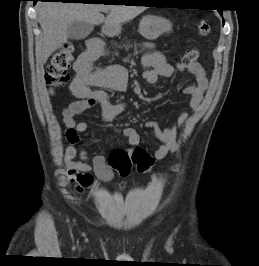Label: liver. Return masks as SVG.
Masks as SVG:
<instances>
[{
  "mask_svg": "<svg viewBox=\"0 0 259 266\" xmlns=\"http://www.w3.org/2000/svg\"><path fill=\"white\" fill-rule=\"evenodd\" d=\"M38 21L42 28L40 57L43 63L67 43V28L74 21L92 25L104 22V28L121 26L145 11V6L104 5L84 3L41 2L37 4ZM109 12L105 18L101 12Z\"/></svg>",
  "mask_w": 259,
  "mask_h": 266,
  "instance_id": "obj_1",
  "label": "liver"
}]
</instances>
